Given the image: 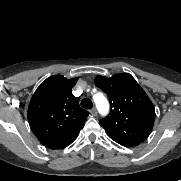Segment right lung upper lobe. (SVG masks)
Wrapping results in <instances>:
<instances>
[{
  "instance_id": "cb5924a9",
  "label": "right lung upper lobe",
  "mask_w": 181,
  "mask_h": 181,
  "mask_svg": "<svg viewBox=\"0 0 181 181\" xmlns=\"http://www.w3.org/2000/svg\"><path fill=\"white\" fill-rule=\"evenodd\" d=\"M78 77L47 78L37 88L28 107V121L39 141L50 149L70 145L84 127L89 112L81 109L71 90Z\"/></svg>"
}]
</instances>
